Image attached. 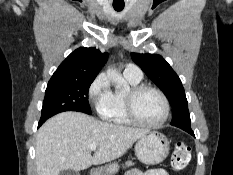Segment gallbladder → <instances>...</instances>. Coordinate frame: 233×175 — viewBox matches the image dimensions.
Returning <instances> with one entry per match:
<instances>
[{
    "instance_id": "bac80fb5",
    "label": "gallbladder",
    "mask_w": 233,
    "mask_h": 175,
    "mask_svg": "<svg viewBox=\"0 0 233 175\" xmlns=\"http://www.w3.org/2000/svg\"><path fill=\"white\" fill-rule=\"evenodd\" d=\"M59 175H80L78 171L74 170H63Z\"/></svg>"
}]
</instances>
